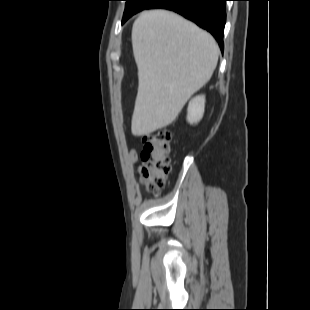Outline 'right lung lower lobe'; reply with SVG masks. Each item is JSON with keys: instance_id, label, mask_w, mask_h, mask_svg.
<instances>
[{"instance_id": "obj_1", "label": "right lung lower lobe", "mask_w": 310, "mask_h": 310, "mask_svg": "<svg viewBox=\"0 0 310 310\" xmlns=\"http://www.w3.org/2000/svg\"><path fill=\"white\" fill-rule=\"evenodd\" d=\"M226 1L227 0H157L145 9L164 8L179 13L210 32L223 51ZM130 17L123 18L122 23Z\"/></svg>"}]
</instances>
